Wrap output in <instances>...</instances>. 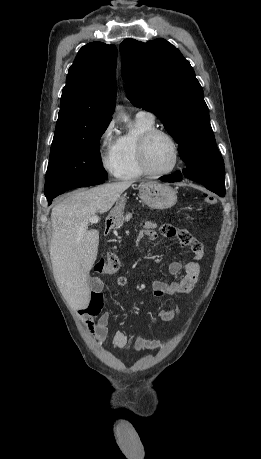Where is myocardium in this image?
<instances>
[{
    "label": "myocardium",
    "mask_w": 261,
    "mask_h": 459,
    "mask_svg": "<svg viewBox=\"0 0 261 459\" xmlns=\"http://www.w3.org/2000/svg\"><path fill=\"white\" fill-rule=\"evenodd\" d=\"M158 135H162V136L167 137L170 140V142L172 143L173 149H174V162H173V165L171 166L170 169H168L167 171H164V172H155V171H153L150 168L149 162H148V149H149L150 142ZM138 160H139V164H140L141 169L143 170V172L146 175L151 176V177H156V178L168 176V175L172 174L177 169V167L179 165V162H180V146H179V143L176 140V138L170 132H168L166 130H163V129H159V128L151 129V130L145 132L139 139V142H138Z\"/></svg>",
    "instance_id": "1"
}]
</instances>
